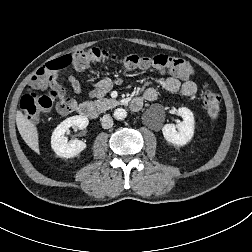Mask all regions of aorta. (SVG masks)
Segmentation results:
<instances>
[{
	"instance_id": "obj_1",
	"label": "aorta",
	"mask_w": 252,
	"mask_h": 252,
	"mask_svg": "<svg viewBox=\"0 0 252 252\" xmlns=\"http://www.w3.org/2000/svg\"><path fill=\"white\" fill-rule=\"evenodd\" d=\"M127 116V112L125 109L123 108H118L114 111V117L117 119V120H122L124 118H126Z\"/></svg>"
}]
</instances>
